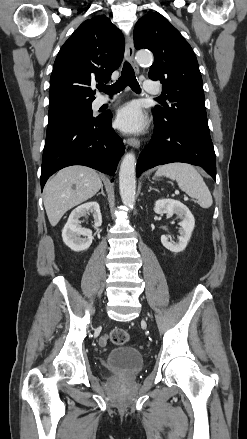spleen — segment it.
Listing matches in <instances>:
<instances>
[{"mask_svg":"<svg viewBox=\"0 0 247 439\" xmlns=\"http://www.w3.org/2000/svg\"><path fill=\"white\" fill-rule=\"evenodd\" d=\"M155 175H164L175 180L179 188L190 197L195 198L202 208L207 209L212 206L211 193L202 176L192 165L180 162L169 163L160 166Z\"/></svg>","mask_w":247,"mask_h":439,"instance_id":"3e777b00","label":"spleen"}]
</instances>
